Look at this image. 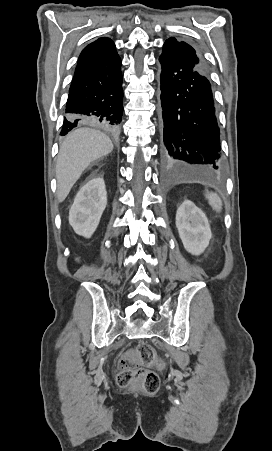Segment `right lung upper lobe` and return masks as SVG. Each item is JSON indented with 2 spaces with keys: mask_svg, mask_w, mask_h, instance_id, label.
<instances>
[{
  "mask_svg": "<svg viewBox=\"0 0 272 451\" xmlns=\"http://www.w3.org/2000/svg\"><path fill=\"white\" fill-rule=\"evenodd\" d=\"M114 52H116V48L111 39L99 38L84 48L78 59V64L88 60L105 57Z\"/></svg>",
  "mask_w": 272,
  "mask_h": 451,
  "instance_id": "1",
  "label": "right lung upper lobe"
}]
</instances>
